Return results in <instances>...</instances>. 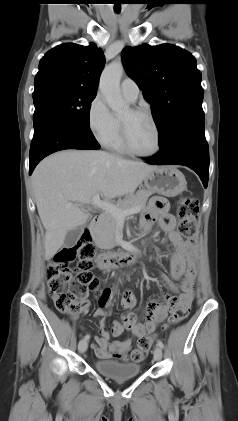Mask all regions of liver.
<instances>
[{"mask_svg":"<svg viewBox=\"0 0 238 421\" xmlns=\"http://www.w3.org/2000/svg\"><path fill=\"white\" fill-rule=\"evenodd\" d=\"M155 169L102 150H64L42 160L32 183L39 217L45 228V259L64 244L66 234L85 224L89 213L77 203L100 194L106 200L133 193ZM68 203H76L67 207Z\"/></svg>","mask_w":238,"mask_h":421,"instance_id":"6515ba94","label":"liver"}]
</instances>
